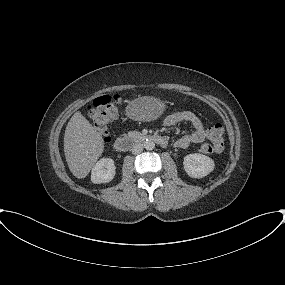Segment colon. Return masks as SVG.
Here are the masks:
<instances>
[{
  "label": "colon",
  "mask_w": 285,
  "mask_h": 285,
  "mask_svg": "<svg viewBox=\"0 0 285 285\" xmlns=\"http://www.w3.org/2000/svg\"><path fill=\"white\" fill-rule=\"evenodd\" d=\"M119 95H104L93 100L89 105L88 110L90 118L95 129L103 136L104 140L108 142L109 125L119 115ZM209 142L201 147L202 152L212 154L222 151L224 147V129L222 125L215 124L208 129Z\"/></svg>",
  "instance_id": "obj_1"
}]
</instances>
